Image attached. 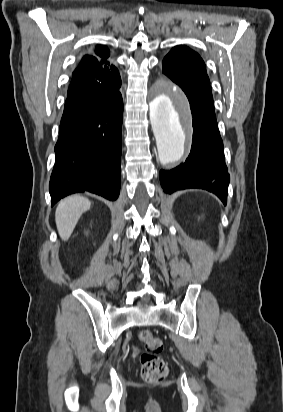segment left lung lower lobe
Listing matches in <instances>:
<instances>
[{"label":"left lung lower lobe","mask_w":283,"mask_h":412,"mask_svg":"<svg viewBox=\"0 0 283 412\" xmlns=\"http://www.w3.org/2000/svg\"><path fill=\"white\" fill-rule=\"evenodd\" d=\"M175 82L188 97L193 117L191 152L185 163L172 170H161L164 192L187 188L205 189L226 204L230 177L225 164L223 142L216 121L212 92L193 82L178 78Z\"/></svg>","instance_id":"1"}]
</instances>
